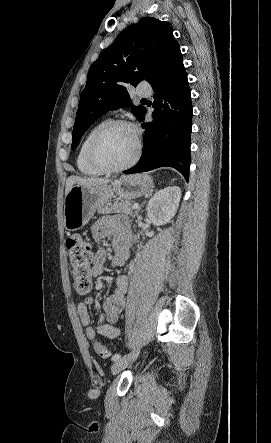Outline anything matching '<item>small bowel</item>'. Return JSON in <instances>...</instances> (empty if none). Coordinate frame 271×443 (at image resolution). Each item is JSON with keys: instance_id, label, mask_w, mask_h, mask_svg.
I'll return each instance as SVG.
<instances>
[{"instance_id": "obj_1", "label": "small bowel", "mask_w": 271, "mask_h": 443, "mask_svg": "<svg viewBox=\"0 0 271 443\" xmlns=\"http://www.w3.org/2000/svg\"><path fill=\"white\" fill-rule=\"evenodd\" d=\"M92 235L97 242L105 239L112 241L115 248V256L113 258V264L115 266L124 265L129 260L130 234L126 226L111 217H102L92 226ZM106 257L107 252L104 248L101 247L96 251L93 261L94 276H98L103 272ZM128 283L129 281L126 276L118 275L116 277L113 292L109 294L103 302V312L106 321L96 327L92 325L86 304H78V316L89 340H95L98 334L109 339L117 338L120 335L121 330L117 322L124 308Z\"/></svg>"}]
</instances>
